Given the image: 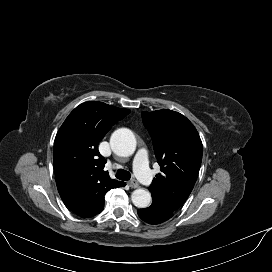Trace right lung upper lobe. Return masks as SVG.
<instances>
[{"mask_svg": "<svg viewBox=\"0 0 272 272\" xmlns=\"http://www.w3.org/2000/svg\"><path fill=\"white\" fill-rule=\"evenodd\" d=\"M129 113L103 102H86L69 114L56 135L53 163L58 192L82 218L100 213L106 192L123 184L104 171L106 160L97 145Z\"/></svg>", "mask_w": 272, "mask_h": 272, "instance_id": "right-lung-upper-lobe-1", "label": "right lung upper lobe"}]
</instances>
